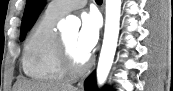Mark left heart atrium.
Masks as SVG:
<instances>
[{"label":"left heart atrium","mask_w":173,"mask_h":91,"mask_svg":"<svg viewBox=\"0 0 173 91\" xmlns=\"http://www.w3.org/2000/svg\"><path fill=\"white\" fill-rule=\"evenodd\" d=\"M82 24L77 36V49L85 57H88L95 48L99 39V18L95 12L82 15Z\"/></svg>","instance_id":"1"}]
</instances>
